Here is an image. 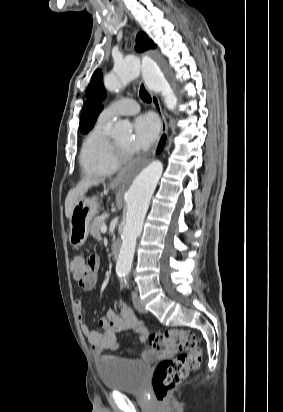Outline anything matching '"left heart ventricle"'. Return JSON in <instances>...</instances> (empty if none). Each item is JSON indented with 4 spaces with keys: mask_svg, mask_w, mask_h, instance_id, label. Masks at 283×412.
Here are the masks:
<instances>
[{
    "mask_svg": "<svg viewBox=\"0 0 283 412\" xmlns=\"http://www.w3.org/2000/svg\"><path fill=\"white\" fill-rule=\"evenodd\" d=\"M123 149L130 151L129 144L131 141V137L129 135H125L119 137L115 140Z\"/></svg>",
    "mask_w": 283,
    "mask_h": 412,
    "instance_id": "obj_1",
    "label": "left heart ventricle"
}]
</instances>
